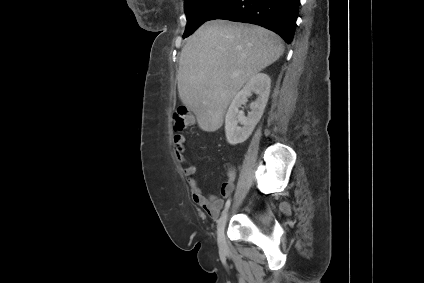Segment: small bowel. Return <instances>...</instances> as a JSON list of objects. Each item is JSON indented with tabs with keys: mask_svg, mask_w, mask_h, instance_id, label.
Returning <instances> with one entry per match:
<instances>
[{
	"mask_svg": "<svg viewBox=\"0 0 424 283\" xmlns=\"http://www.w3.org/2000/svg\"><path fill=\"white\" fill-rule=\"evenodd\" d=\"M175 144L174 153L176 158L183 163V172L188 178V184L192 199L196 205L202 208L211 218L216 219L223 207L224 199L227 198L234 189V180L238 173V168L230 163L225 165L228 181L221 186V196L214 194L205 195L202 188L199 186L196 175V168L188 163L184 156L185 137L181 134H176L173 137Z\"/></svg>",
	"mask_w": 424,
	"mask_h": 283,
	"instance_id": "small-bowel-1",
	"label": "small bowel"
}]
</instances>
